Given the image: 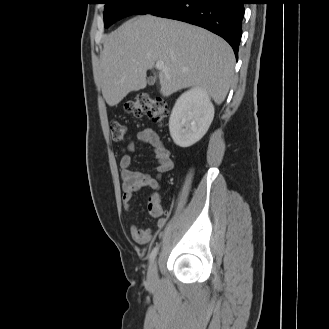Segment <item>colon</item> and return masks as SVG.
<instances>
[{"instance_id": "colon-1", "label": "colon", "mask_w": 329, "mask_h": 329, "mask_svg": "<svg viewBox=\"0 0 329 329\" xmlns=\"http://www.w3.org/2000/svg\"><path fill=\"white\" fill-rule=\"evenodd\" d=\"M125 111L135 118H141L147 116L156 123H162L166 121L169 116V111L161 99L151 98L147 94H139L134 100H130L125 104ZM110 131L112 139L117 143H122L127 138L126 127L118 122H110Z\"/></svg>"}]
</instances>
